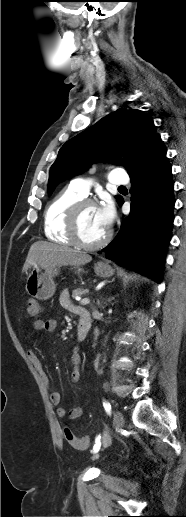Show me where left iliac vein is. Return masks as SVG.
<instances>
[{
	"mask_svg": "<svg viewBox=\"0 0 186 517\" xmlns=\"http://www.w3.org/2000/svg\"><path fill=\"white\" fill-rule=\"evenodd\" d=\"M113 423H114V427L117 428V429L121 428L124 425V418H123V415H122L121 412L116 411L114 413ZM103 444H104V446H107L109 444V437L108 436H105L103 438Z\"/></svg>",
	"mask_w": 186,
	"mask_h": 517,
	"instance_id": "obj_1",
	"label": "left iliac vein"
}]
</instances>
